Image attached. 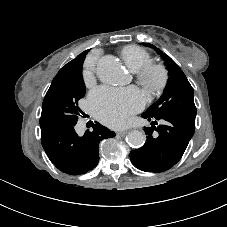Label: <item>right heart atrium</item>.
Instances as JSON below:
<instances>
[{
  "label": "right heart atrium",
  "instance_id": "obj_1",
  "mask_svg": "<svg viewBox=\"0 0 227 227\" xmlns=\"http://www.w3.org/2000/svg\"><path fill=\"white\" fill-rule=\"evenodd\" d=\"M98 58H99L98 53H91L86 58L83 69V80L85 82H88L92 78Z\"/></svg>",
  "mask_w": 227,
  "mask_h": 227
}]
</instances>
